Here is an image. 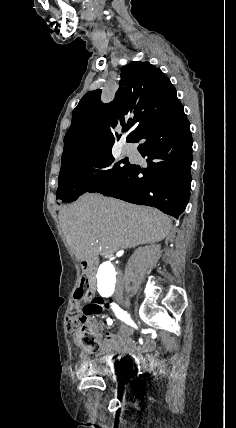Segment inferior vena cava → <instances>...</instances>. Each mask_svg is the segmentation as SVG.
<instances>
[{"label": "inferior vena cava", "instance_id": "602c4592", "mask_svg": "<svg viewBox=\"0 0 236 428\" xmlns=\"http://www.w3.org/2000/svg\"><path fill=\"white\" fill-rule=\"evenodd\" d=\"M124 274L122 273V272H117V283H118V285H117V288H116V292H115V295L118 297V298H121V297H123L124 296V294H125V292L123 291V276Z\"/></svg>", "mask_w": 236, "mask_h": 428}]
</instances>
